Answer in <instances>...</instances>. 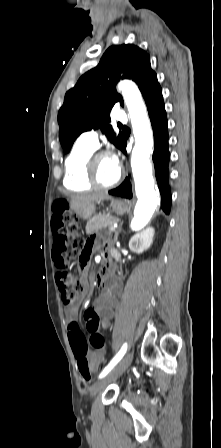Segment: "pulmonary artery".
<instances>
[{
  "mask_svg": "<svg viewBox=\"0 0 221 448\" xmlns=\"http://www.w3.org/2000/svg\"><path fill=\"white\" fill-rule=\"evenodd\" d=\"M114 119L121 123H125L127 121V115L122 110H115ZM78 141L96 149L99 146L98 131L93 129L85 131L79 136Z\"/></svg>",
  "mask_w": 221,
  "mask_h": 448,
  "instance_id": "e3ab8cb5",
  "label": "pulmonary artery"
}]
</instances>
